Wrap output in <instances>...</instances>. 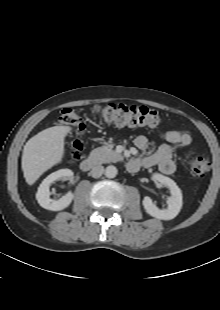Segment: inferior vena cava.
<instances>
[{
    "instance_id": "1",
    "label": "inferior vena cava",
    "mask_w": 220,
    "mask_h": 310,
    "mask_svg": "<svg viewBox=\"0 0 220 310\" xmlns=\"http://www.w3.org/2000/svg\"><path fill=\"white\" fill-rule=\"evenodd\" d=\"M104 173V167L101 165L94 166L90 171L93 178H99Z\"/></svg>"
}]
</instances>
